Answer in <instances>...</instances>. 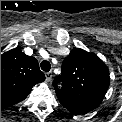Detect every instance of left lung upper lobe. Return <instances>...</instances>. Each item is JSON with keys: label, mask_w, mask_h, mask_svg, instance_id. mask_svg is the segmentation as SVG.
Masks as SVG:
<instances>
[{"label": "left lung upper lobe", "mask_w": 122, "mask_h": 122, "mask_svg": "<svg viewBox=\"0 0 122 122\" xmlns=\"http://www.w3.org/2000/svg\"><path fill=\"white\" fill-rule=\"evenodd\" d=\"M62 82V88L58 84ZM109 70L95 54L73 49L62 64L61 75L53 81L60 103L75 114L95 109L109 87Z\"/></svg>", "instance_id": "5c2ea615"}]
</instances>
